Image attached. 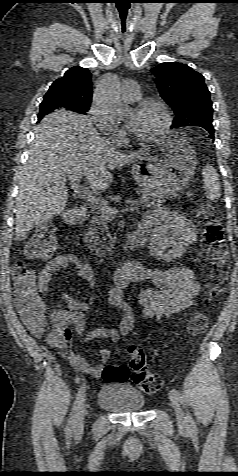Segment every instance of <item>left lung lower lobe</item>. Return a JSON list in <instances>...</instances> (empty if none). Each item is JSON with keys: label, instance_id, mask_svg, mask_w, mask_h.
Returning a JSON list of instances; mask_svg holds the SVG:
<instances>
[{"label": "left lung lower lobe", "instance_id": "obj_1", "mask_svg": "<svg viewBox=\"0 0 238 476\" xmlns=\"http://www.w3.org/2000/svg\"><path fill=\"white\" fill-rule=\"evenodd\" d=\"M204 129H206L210 135H211V138H214V128L213 127H208V126H203Z\"/></svg>", "mask_w": 238, "mask_h": 476}]
</instances>
